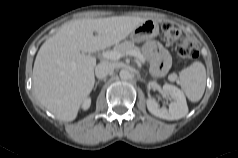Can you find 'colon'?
<instances>
[{
	"label": "colon",
	"instance_id": "1",
	"mask_svg": "<svg viewBox=\"0 0 238 158\" xmlns=\"http://www.w3.org/2000/svg\"><path fill=\"white\" fill-rule=\"evenodd\" d=\"M163 40L166 44H175L177 54L184 59H193L198 56L194 44L185 37L172 23L164 22L161 25Z\"/></svg>",
	"mask_w": 238,
	"mask_h": 158
}]
</instances>
